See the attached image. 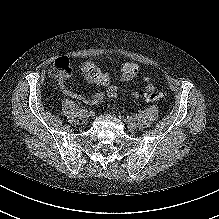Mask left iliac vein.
I'll return each mask as SVG.
<instances>
[{"mask_svg": "<svg viewBox=\"0 0 219 219\" xmlns=\"http://www.w3.org/2000/svg\"><path fill=\"white\" fill-rule=\"evenodd\" d=\"M125 122H126L127 128H128L130 131H134V130L137 128L136 123L133 122V121L130 120V119H125Z\"/></svg>", "mask_w": 219, "mask_h": 219, "instance_id": "1", "label": "left iliac vein"}]
</instances>
